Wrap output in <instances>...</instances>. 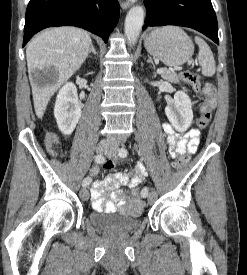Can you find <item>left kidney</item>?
Masks as SVG:
<instances>
[{"label":"left kidney","mask_w":247,"mask_h":275,"mask_svg":"<svg viewBox=\"0 0 247 275\" xmlns=\"http://www.w3.org/2000/svg\"><path fill=\"white\" fill-rule=\"evenodd\" d=\"M165 114L176 131H186L193 120L192 104L189 96L183 91H177L173 102L165 108Z\"/></svg>","instance_id":"obj_1"}]
</instances>
